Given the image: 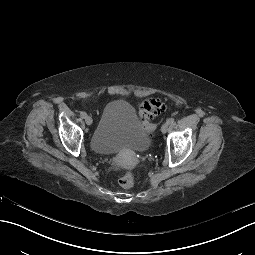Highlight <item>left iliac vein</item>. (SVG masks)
<instances>
[{
  "mask_svg": "<svg viewBox=\"0 0 255 255\" xmlns=\"http://www.w3.org/2000/svg\"><path fill=\"white\" fill-rule=\"evenodd\" d=\"M168 130V123H164L162 126H161V132L162 133H166Z\"/></svg>",
  "mask_w": 255,
  "mask_h": 255,
  "instance_id": "obj_1",
  "label": "left iliac vein"
}]
</instances>
